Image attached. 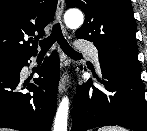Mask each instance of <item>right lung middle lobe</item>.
Masks as SVG:
<instances>
[{"mask_svg":"<svg viewBox=\"0 0 147 131\" xmlns=\"http://www.w3.org/2000/svg\"><path fill=\"white\" fill-rule=\"evenodd\" d=\"M17 64V60H0V69L10 68Z\"/></svg>","mask_w":147,"mask_h":131,"instance_id":"1","label":"right lung middle lobe"}]
</instances>
